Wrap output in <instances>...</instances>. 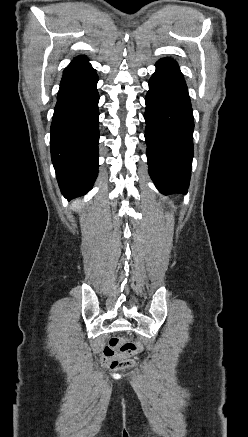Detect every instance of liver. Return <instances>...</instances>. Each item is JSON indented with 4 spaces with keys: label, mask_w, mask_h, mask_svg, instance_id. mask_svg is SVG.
<instances>
[{
    "label": "liver",
    "mask_w": 248,
    "mask_h": 437,
    "mask_svg": "<svg viewBox=\"0 0 248 437\" xmlns=\"http://www.w3.org/2000/svg\"><path fill=\"white\" fill-rule=\"evenodd\" d=\"M82 202L81 201H74L72 204V209L75 211H79L81 209Z\"/></svg>",
    "instance_id": "liver-1"
}]
</instances>
